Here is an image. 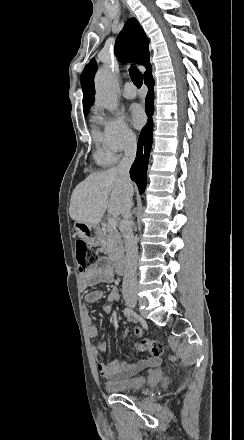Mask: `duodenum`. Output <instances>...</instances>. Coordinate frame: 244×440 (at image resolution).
<instances>
[{
  "instance_id": "duodenum-1",
  "label": "duodenum",
  "mask_w": 244,
  "mask_h": 440,
  "mask_svg": "<svg viewBox=\"0 0 244 440\" xmlns=\"http://www.w3.org/2000/svg\"><path fill=\"white\" fill-rule=\"evenodd\" d=\"M115 270L118 274L125 272V260L124 258H118L114 264Z\"/></svg>"
}]
</instances>
